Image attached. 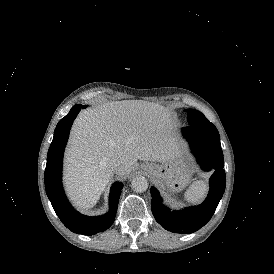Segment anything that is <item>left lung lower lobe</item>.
Instances as JSON below:
<instances>
[{"label": "left lung lower lobe", "mask_w": 274, "mask_h": 274, "mask_svg": "<svg viewBox=\"0 0 274 274\" xmlns=\"http://www.w3.org/2000/svg\"><path fill=\"white\" fill-rule=\"evenodd\" d=\"M183 135L200 166L204 170H215L210 178V191L206 200L199 206L170 211L162 204L159 192L154 187L150 192L151 209L156 221L168 231L188 234L197 231L211 219L225 191L226 176L217 129H202L189 125L183 128Z\"/></svg>", "instance_id": "left-lung-lower-lobe-1"}]
</instances>
